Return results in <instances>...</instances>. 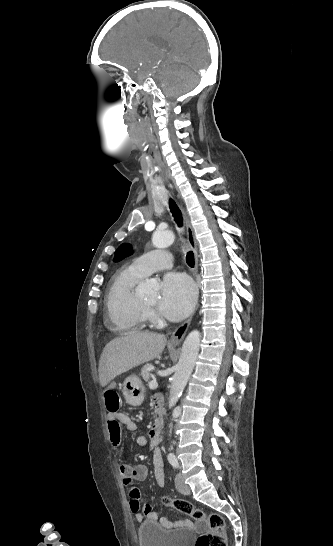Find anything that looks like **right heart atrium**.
<instances>
[{
	"mask_svg": "<svg viewBox=\"0 0 333 546\" xmlns=\"http://www.w3.org/2000/svg\"><path fill=\"white\" fill-rule=\"evenodd\" d=\"M147 315L152 316V312L150 310H147Z\"/></svg>",
	"mask_w": 333,
	"mask_h": 546,
	"instance_id": "obj_1",
	"label": "right heart atrium"
}]
</instances>
